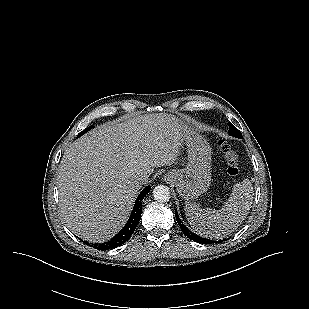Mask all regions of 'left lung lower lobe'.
<instances>
[{
    "label": "left lung lower lobe",
    "instance_id": "0a47b994",
    "mask_svg": "<svg viewBox=\"0 0 309 309\" xmlns=\"http://www.w3.org/2000/svg\"><path fill=\"white\" fill-rule=\"evenodd\" d=\"M175 216H176V220L178 222V224L181 227V230L183 231V233L191 240L198 242V243H202V244H212V243H217L218 241H212L206 238H202L200 236H197L196 234L192 233L183 223L182 221L179 219L177 211H175Z\"/></svg>",
    "mask_w": 309,
    "mask_h": 309
}]
</instances>
